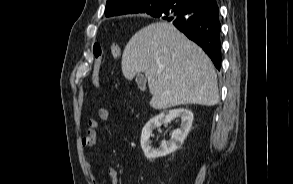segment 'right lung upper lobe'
I'll return each mask as SVG.
<instances>
[{"label":"right lung upper lobe","instance_id":"right-lung-upper-lobe-1","mask_svg":"<svg viewBox=\"0 0 293 184\" xmlns=\"http://www.w3.org/2000/svg\"><path fill=\"white\" fill-rule=\"evenodd\" d=\"M156 0H107L105 15L118 16L124 14H136V13H147L151 16H157L161 12L171 8L177 4L180 0H167L168 6L163 11L153 12L151 5ZM201 3L202 6H206L210 3H214L215 0H191Z\"/></svg>","mask_w":293,"mask_h":184}]
</instances>
